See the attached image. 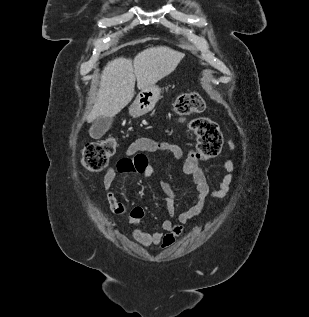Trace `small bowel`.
<instances>
[{
	"label": "small bowel",
	"instance_id": "1",
	"mask_svg": "<svg viewBox=\"0 0 309 317\" xmlns=\"http://www.w3.org/2000/svg\"><path fill=\"white\" fill-rule=\"evenodd\" d=\"M232 150L235 149L233 141H229ZM157 151H166L175 160H180L184 155V149L178 145L153 139L149 137H141L129 144L126 149L125 156L117 163V168H109L103 178V186L106 192V198L111 211L117 215L126 213L125 205L120 202L115 193V180L117 172L119 173H137L146 178L155 175V167L149 160L146 153ZM186 159L183 165L185 174L192 177L196 187L197 194L191 201V206L178 215V222L174 223L173 202L176 194L171 186L164 180L160 181L161 192L167 202V218L161 223V232L149 233L141 228L140 223L144 217V209L142 207L132 208L127 215V222L131 228V234L134 239L145 247L158 246L160 249L171 247L176 239L183 233L184 225L192 218L200 215L205 207L206 199L210 197L213 201L225 198L233 182V173L235 164L230 159H225L221 167L225 171L216 189L211 190L207 182L205 173L198 166V158L196 151L193 149L186 150ZM214 204V202H212Z\"/></svg>",
	"mask_w": 309,
	"mask_h": 317
}]
</instances>
